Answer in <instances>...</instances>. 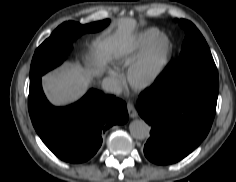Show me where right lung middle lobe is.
Segmentation results:
<instances>
[{"mask_svg": "<svg viewBox=\"0 0 236 182\" xmlns=\"http://www.w3.org/2000/svg\"><path fill=\"white\" fill-rule=\"evenodd\" d=\"M109 20L98 21L86 25L68 21L55 29L35 51L31 68L30 79L41 76L60 65L72 48V42L84 33L97 32L105 28Z\"/></svg>", "mask_w": 236, "mask_h": 182, "instance_id": "obj_1", "label": "right lung middle lobe"}]
</instances>
